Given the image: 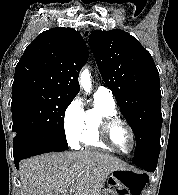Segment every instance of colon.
<instances>
[{
  "label": "colon",
  "instance_id": "1",
  "mask_svg": "<svg viewBox=\"0 0 178 195\" xmlns=\"http://www.w3.org/2000/svg\"><path fill=\"white\" fill-rule=\"evenodd\" d=\"M148 181V178L145 174H138L132 179L130 185L131 195H140L141 190L144 188Z\"/></svg>",
  "mask_w": 178,
  "mask_h": 195
}]
</instances>
